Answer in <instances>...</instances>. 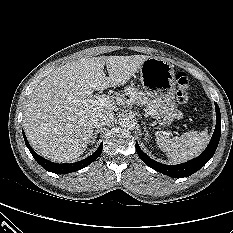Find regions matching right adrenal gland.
Returning a JSON list of instances; mask_svg holds the SVG:
<instances>
[{"label":"right adrenal gland","mask_w":233,"mask_h":233,"mask_svg":"<svg viewBox=\"0 0 233 233\" xmlns=\"http://www.w3.org/2000/svg\"><path fill=\"white\" fill-rule=\"evenodd\" d=\"M99 132H100V129L98 128L97 130H95V132L93 133V135H92V137H91V143L92 144H94L95 143V141H96V138H97V136H98V134H99Z\"/></svg>","instance_id":"right-adrenal-gland-1"}]
</instances>
